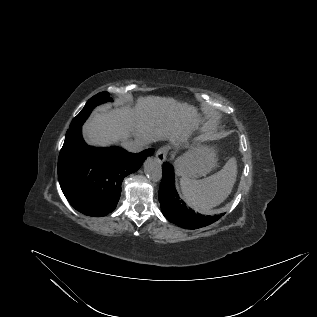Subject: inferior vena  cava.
I'll use <instances>...</instances> for the list:
<instances>
[{
    "label": "inferior vena cava",
    "mask_w": 317,
    "mask_h": 317,
    "mask_svg": "<svg viewBox=\"0 0 317 317\" xmlns=\"http://www.w3.org/2000/svg\"><path fill=\"white\" fill-rule=\"evenodd\" d=\"M148 144V141L144 137H139L133 141H123L121 146L131 153L141 152Z\"/></svg>",
    "instance_id": "inferior-vena-cava-1"
}]
</instances>
